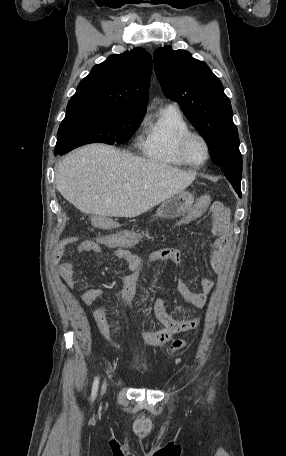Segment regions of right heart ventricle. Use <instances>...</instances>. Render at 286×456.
<instances>
[{
	"label": "right heart ventricle",
	"instance_id": "right-heart-ventricle-1",
	"mask_svg": "<svg viewBox=\"0 0 286 456\" xmlns=\"http://www.w3.org/2000/svg\"><path fill=\"white\" fill-rule=\"evenodd\" d=\"M190 127L178 107L164 106L149 120L139 146L148 160L160 164L185 166L177 151V141Z\"/></svg>",
	"mask_w": 286,
	"mask_h": 456
}]
</instances>
